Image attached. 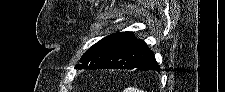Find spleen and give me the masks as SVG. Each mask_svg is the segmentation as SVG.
<instances>
[{"label": "spleen", "mask_w": 225, "mask_h": 92, "mask_svg": "<svg viewBox=\"0 0 225 92\" xmlns=\"http://www.w3.org/2000/svg\"><path fill=\"white\" fill-rule=\"evenodd\" d=\"M132 91H133V92H139V90L136 89V88H133Z\"/></svg>", "instance_id": "spleen-1"}]
</instances>
